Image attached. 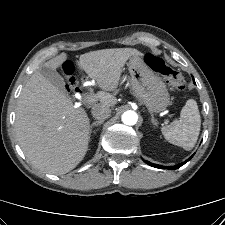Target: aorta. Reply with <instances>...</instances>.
Here are the masks:
<instances>
[{"instance_id": "1", "label": "aorta", "mask_w": 225, "mask_h": 225, "mask_svg": "<svg viewBox=\"0 0 225 225\" xmlns=\"http://www.w3.org/2000/svg\"><path fill=\"white\" fill-rule=\"evenodd\" d=\"M121 119L124 124L132 126L137 123L138 115L135 111L128 110L122 114Z\"/></svg>"}]
</instances>
